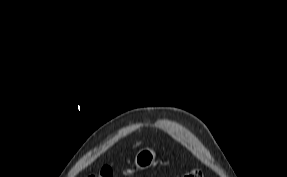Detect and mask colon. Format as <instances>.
I'll list each match as a JSON object with an SVG mask.
<instances>
[{
    "instance_id": "obj_1",
    "label": "colon",
    "mask_w": 287,
    "mask_h": 177,
    "mask_svg": "<svg viewBox=\"0 0 287 177\" xmlns=\"http://www.w3.org/2000/svg\"><path fill=\"white\" fill-rule=\"evenodd\" d=\"M113 171L111 168H101L93 174H90L88 177H112ZM182 177H203V173L199 169H192L186 172Z\"/></svg>"
}]
</instances>
